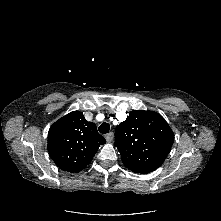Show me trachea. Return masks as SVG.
<instances>
[{
  "mask_svg": "<svg viewBox=\"0 0 221 221\" xmlns=\"http://www.w3.org/2000/svg\"><path fill=\"white\" fill-rule=\"evenodd\" d=\"M98 130L100 133L106 134L110 130V125L107 122H104L99 126Z\"/></svg>",
  "mask_w": 221,
  "mask_h": 221,
  "instance_id": "obj_1",
  "label": "trachea"
}]
</instances>
